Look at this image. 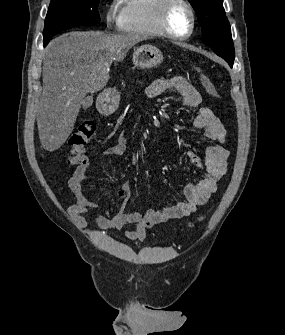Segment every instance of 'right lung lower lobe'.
<instances>
[{
	"mask_svg": "<svg viewBox=\"0 0 285 335\" xmlns=\"http://www.w3.org/2000/svg\"><path fill=\"white\" fill-rule=\"evenodd\" d=\"M47 45V43H44V46H46Z\"/></svg>",
	"mask_w": 285,
	"mask_h": 335,
	"instance_id": "98d812e1",
	"label": "right lung lower lobe"
}]
</instances>
